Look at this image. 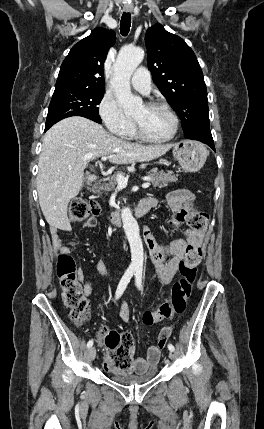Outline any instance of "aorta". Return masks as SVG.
Instances as JSON below:
<instances>
[{
  "instance_id": "obj_1",
  "label": "aorta",
  "mask_w": 264,
  "mask_h": 429,
  "mask_svg": "<svg viewBox=\"0 0 264 429\" xmlns=\"http://www.w3.org/2000/svg\"><path fill=\"white\" fill-rule=\"evenodd\" d=\"M144 58L140 47H123L114 64V74L111 85L115 91L116 100L125 114H130L142 106V99L134 96L130 88V78L134 70ZM123 228L131 249L130 268L142 269L144 261L143 245L139 234V226L130 208L121 212Z\"/></svg>"
}]
</instances>
